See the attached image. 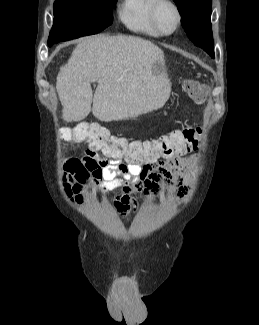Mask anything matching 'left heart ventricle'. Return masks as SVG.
Masks as SVG:
<instances>
[{"instance_id": "left-heart-ventricle-1", "label": "left heart ventricle", "mask_w": 259, "mask_h": 325, "mask_svg": "<svg viewBox=\"0 0 259 325\" xmlns=\"http://www.w3.org/2000/svg\"><path fill=\"white\" fill-rule=\"evenodd\" d=\"M157 21L164 32L171 31L177 21L174 8L167 3L161 4L157 10Z\"/></svg>"}]
</instances>
